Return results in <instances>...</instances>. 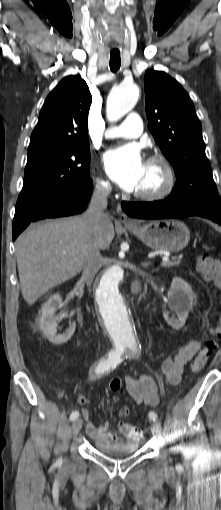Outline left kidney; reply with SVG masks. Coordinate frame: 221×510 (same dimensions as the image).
I'll return each instance as SVG.
<instances>
[{
    "mask_svg": "<svg viewBox=\"0 0 221 510\" xmlns=\"http://www.w3.org/2000/svg\"><path fill=\"white\" fill-rule=\"evenodd\" d=\"M195 301L196 295L191 286L179 277L173 278L166 303L177 318L169 317V313L164 311L163 316L168 325L175 330L181 329Z\"/></svg>",
    "mask_w": 221,
    "mask_h": 510,
    "instance_id": "left-kidney-1",
    "label": "left kidney"
}]
</instances>
